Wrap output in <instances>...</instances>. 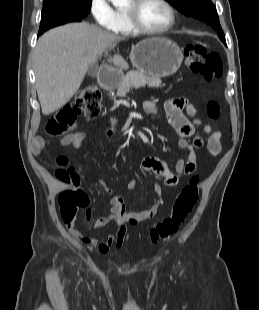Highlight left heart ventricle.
Listing matches in <instances>:
<instances>
[{
	"label": "left heart ventricle",
	"instance_id": "b2bd125f",
	"mask_svg": "<svg viewBox=\"0 0 259 310\" xmlns=\"http://www.w3.org/2000/svg\"><path fill=\"white\" fill-rule=\"evenodd\" d=\"M130 7L131 3L127 8ZM169 18L168 10L159 0H145L138 10V19L147 28H162L169 22Z\"/></svg>",
	"mask_w": 259,
	"mask_h": 310
}]
</instances>
